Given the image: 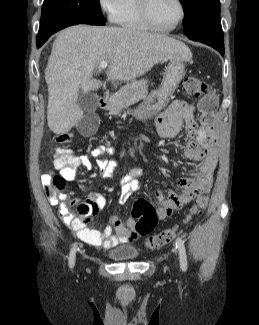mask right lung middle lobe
Returning <instances> with one entry per match:
<instances>
[{
  "label": "right lung middle lobe",
  "mask_w": 259,
  "mask_h": 325,
  "mask_svg": "<svg viewBox=\"0 0 259 325\" xmlns=\"http://www.w3.org/2000/svg\"><path fill=\"white\" fill-rule=\"evenodd\" d=\"M105 22L99 0H45L37 40L71 25Z\"/></svg>",
  "instance_id": "right-lung-middle-lobe-1"
}]
</instances>
